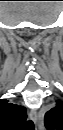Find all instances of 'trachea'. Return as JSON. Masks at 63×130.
I'll use <instances>...</instances> for the list:
<instances>
[{"label": "trachea", "mask_w": 63, "mask_h": 130, "mask_svg": "<svg viewBox=\"0 0 63 130\" xmlns=\"http://www.w3.org/2000/svg\"><path fill=\"white\" fill-rule=\"evenodd\" d=\"M25 130H35L33 121L29 120L25 124Z\"/></svg>", "instance_id": "1"}]
</instances>
